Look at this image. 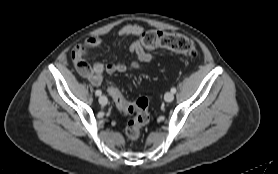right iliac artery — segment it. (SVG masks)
I'll return each mask as SVG.
<instances>
[{
	"label": "right iliac artery",
	"instance_id": "obj_1",
	"mask_svg": "<svg viewBox=\"0 0 278 174\" xmlns=\"http://www.w3.org/2000/svg\"><path fill=\"white\" fill-rule=\"evenodd\" d=\"M95 94H96L97 96H100V95L102 94V92H101V90H96Z\"/></svg>",
	"mask_w": 278,
	"mask_h": 174
}]
</instances>
